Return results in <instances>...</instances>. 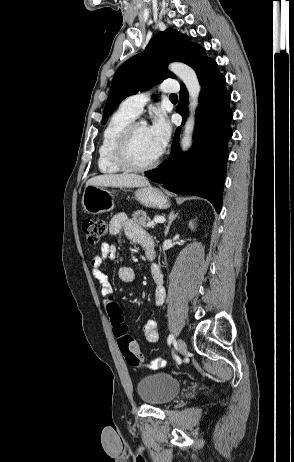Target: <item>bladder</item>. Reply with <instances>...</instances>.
<instances>
[{"label": "bladder", "mask_w": 294, "mask_h": 462, "mask_svg": "<svg viewBox=\"0 0 294 462\" xmlns=\"http://www.w3.org/2000/svg\"><path fill=\"white\" fill-rule=\"evenodd\" d=\"M181 383L167 373H157L140 378L136 390L141 401L151 406L170 403L179 393Z\"/></svg>", "instance_id": "1"}]
</instances>
